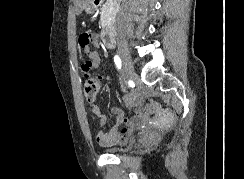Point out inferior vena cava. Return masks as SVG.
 Here are the masks:
<instances>
[{
    "label": "inferior vena cava",
    "instance_id": "1",
    "mask_svg": "<svg viewBox=\"0 0 244 179\" xmlns=\"http://www.w3.org/2000/svg\"><path fill=\"white\" fill-rule=\"evenodd\" d=\"M118 28H119V30H121V32H122V28H121V26H118Z\"/></svg>",
    "mask_w": 244,
    "mask_h": 179
}]
</instances>
